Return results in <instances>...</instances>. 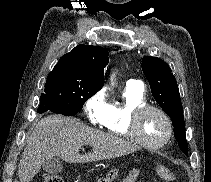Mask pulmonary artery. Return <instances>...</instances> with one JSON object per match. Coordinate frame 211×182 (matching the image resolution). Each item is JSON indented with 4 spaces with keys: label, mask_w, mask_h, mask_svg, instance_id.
<instances>
[{
    "label": "pulmonary artery",
    "mask_w": 211,
    "mask_h": 182,
    "mask_svg": "<svg viewBox=\"0 0 211 182\" xmlns=\"http://www.w3.org/2000/svg\"><path fill=\"white\" fill-rule=\"evenodd\" d=\"M127 86L128 87H131V88H136V89H141V90H143V85L139 82V81H137V80H129L128 82H127Z\"/></svg>",
    "instance_id": "1"
}]
</instances>
